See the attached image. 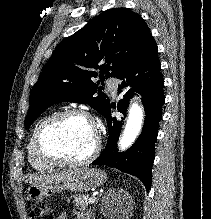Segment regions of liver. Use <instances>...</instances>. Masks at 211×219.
<instances>
[{
	"label": "liver",
	"mask_w": 211,
	"mask_h": 219,
	"mask_svg": "<svg viewBox=\"0 0 211 219\" xmlns=\"http://www.w3.org/2000/svg\"><path fill=\"white\" fill-rule=\"evenodd\" d=\"M77 174V170H65L62 172H50L48 174H43L35 176L30 179L31 184H55L62 183L64 181L70 180Z\"/></svg>",
	"instance_id": "1"
}]
</instances>
